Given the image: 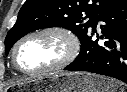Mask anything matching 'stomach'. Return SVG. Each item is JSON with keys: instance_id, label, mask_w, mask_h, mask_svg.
Listing matches in <instances>:
<instances>
[{"instance_id": "obj_1", "label": "stomach", "mask_w": 127, "mask_h": 92, "mask_svg": "<svg viewBox=\"0 0 127 92\" xmlns=\"http://www.w3.org/2000/svg\"><path fill=\"white\" fill-rule=\"evenodd\" d=\"M26 86L31 92H115L112 81L79 72L43 75L27 81ZM7 90L13 92L14 88Z\"/></svg>"}]
</instances>
